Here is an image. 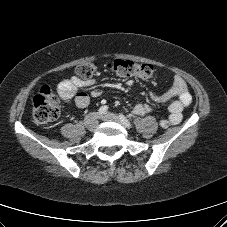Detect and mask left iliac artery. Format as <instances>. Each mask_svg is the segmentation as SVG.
I'll return each mask as SVG.
<instances>
[{
	"label": "left iliac artery",
	"instance_id": "left-iliac-artery-1",
	"mask_svg": "<svg viewBox=\"0 0 227 227\" xmlns=\"http://www.w3.org/2000/svg\"><path fill=\"white\" fill-rule=\"evenodd\" d=\"M119 117L126 127H131L130 121L124 115L121 114Z\"/></svg>",
	"mask_w": 227,
	"mask_h": 227
}]
</instances>
